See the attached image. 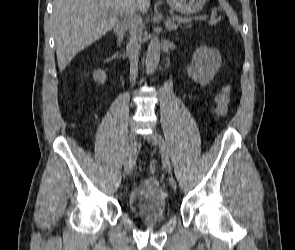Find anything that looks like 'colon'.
Instances as JSON below:
<instances>
[{"mask_svg":"<svg viewBox=\"0 0 295 250\" xmlns=\"http://www.w3.org/2000/svg\"><path fill=\"white\" fill-rule=\"evenodd\" d=\"M217 107L216 113L218 116L222 117L226 114L229 101H230V92L228 88H224L221 93L217 96ZM157 168V163L152 162L150 165V170L154 172Z\"/></svg>","mask_w":295,"mask_h":250,"instance_id":"colon-1","label":"colon"}]
</instances>
